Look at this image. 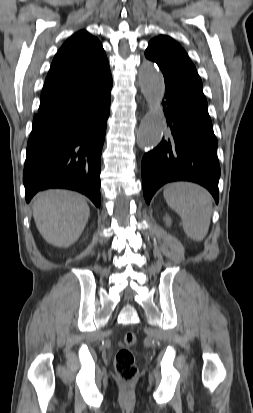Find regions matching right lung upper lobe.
<instances>
[{
  "label": "right lung upper lobe",
  "mask_w": 253,
  "mask_h": 413,
  "mask_svg": "<svg viewBox=\"0 0 253 413\" xmlns=\"http://www.w3.org/2000/svg\"><path fill=\"white\" fill-rule=\"evenodd\" d=\"M110 75L98 39L82 30L72 35L55 55L40 99V119L59 107L93 95Z\"/></svg>",
  "instance_id": "obj_1"
}]
</instances>
